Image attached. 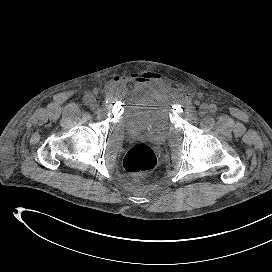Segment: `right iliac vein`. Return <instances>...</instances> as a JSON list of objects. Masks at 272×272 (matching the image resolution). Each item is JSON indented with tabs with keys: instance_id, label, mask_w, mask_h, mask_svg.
<instances>
[{
	"instance_id": "1",
	"label": "right iliac vein",
	"mask_w": 272,
	"mask_h": 272,
	"mask_svg": "<svg viewBox=\"0 0 272 272\" xmlns=\"http://www.w3.org/2000/svg\"><path fill=\"white\" fill-rule=\"evenodd\" d=\"M96 105H97L96 99H95L94 97H90V106H91L92 108H95Z\"/></svg>"
}]
</instances>
